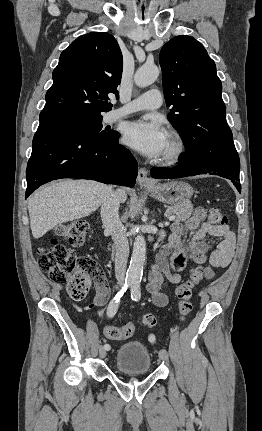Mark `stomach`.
I'll list each match as a JSON object with an SVG mask.
<instances>
[{"label": "stomach", "mask_w": 262, "mask_h": 431, "mask_svg": "<svg viewBox=\"0 0 262 431\" xmlns=\"http://www.w3.org/2000/svg\"><path fill=\"white\" fill-rule=\"evenodd\" d=\"M146 190L158 201L172 206L188 205L189 199L193 195V188L181 180L156 184L146 187Z\"/></svg>", "instance_id": "obj_1"}]
</instances>
